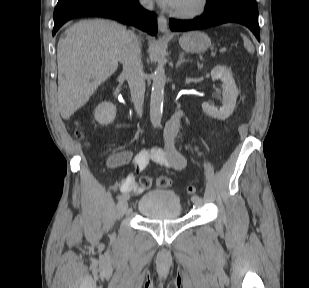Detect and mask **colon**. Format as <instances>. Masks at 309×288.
<instances>
[{
    "mask_svg": "<svg viewBox=\"0 0 309 288\" xmlns=\"http://www.w3.org/2000/svg\"><path fill=\"white\" fill-rule=\"evenodd\" d=\"M76 136L80 139H83L85 137V132L82 131L80 128L76 129L75 132ZM153 181L149 177H142L140 179V185L144 187L151 186ZM155 184L160 188H167L172 184L171 178L167 176H160L155 180ZM186 192L190 196H194L196 194V187L194 185H189L186 188Z\"/></svg>",
    "mask_w": 309,
    "mask_h": 288,
    "instance_id": "obj_1",
    "label": "colon"
}]
</instances>
